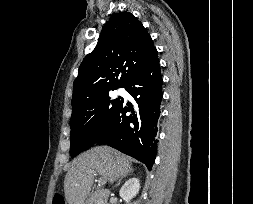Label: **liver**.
I'll list each match as a JSON object with an SVG mask.
<instances>
[{
    "instance_id": "6515ba94",
    "label": "liver",
    "mask_w": 253,
    "mask_h": 204,
    "mask_svg": "<svg viewBox=\"0 0 253 204\" xmlns=\"http://www.w3.org/2000/svg\"><path fill=\"white\" fill-rule=\"evenodd\" d=\"M132 171L129 159L119 151L99 146L79 155L64 180V193L68 204H85L93 185L95 172L100 179L113 182Z\"/></svg>"
}]
</instances>
